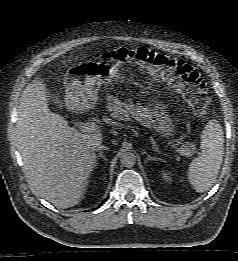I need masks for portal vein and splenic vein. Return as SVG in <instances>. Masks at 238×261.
Listing matches in <instances>:
<instances>
[{"label":"portal vein and splenic vein","instance_id":"obj_1","mask_svg":"<svg viewBox=\"0 0 238 261\" xmlns=\"http://www.w3.org/2000/svg\"><path fill=\"white\" fill-rule=\"evenodd\" d=\"M80 130L83 133H96L99 132V126L94 122H82L79 125ZM172 148L179 154L183 156H192V154L188 153L186 150H184L181 147H177L175 145H172Z\"/></svg>","mask_w":238,"mask_h":261}]
</instances>
